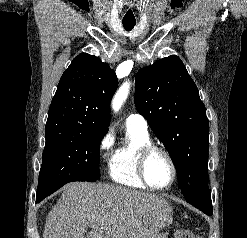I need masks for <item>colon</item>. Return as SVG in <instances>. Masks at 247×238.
Listing matches in <instances>:
<instances>
[{"mask_svg":"<svg viewBox=\"0 0 247 238\" xmlns=\"http://www.w3.org/2000/svg\"><path fill=\"white\" fill-rule=\"evenodd\" d=\"M175 238H200V237L195 235L192 231L188 229H181L176 232Z\"/></svg>","mask_w":247,"mask_h":238,"instance_id":"colon-1","label":"colon"}]
</instances>
